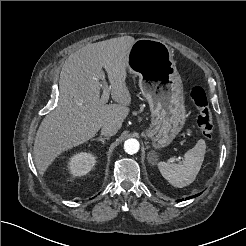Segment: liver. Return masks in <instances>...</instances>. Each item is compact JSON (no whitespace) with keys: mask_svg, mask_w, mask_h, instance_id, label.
I'll return each mask as SVG.
<instances>
[{"mask_svg":"<svg viewBox=\"0 0 246 246\" xmlns=\"http://www.w3.org/2000/svg\"><path fill=\"white\" fill-rule=\"evenodd\" d=\"M136 40L122 36L87 44L65 61L59 79L57 107L42 120L34 141L36 168L44 175L62 152L96 135L106 124L120 129L129 114L131 95L126 86L128 54ZM108 73L111 98L103 104L100 90Z\"/></svg>","mask_w":246,"mask_h":246,"instance_id":"6515ba94","label":"liver"}]
</instances>
